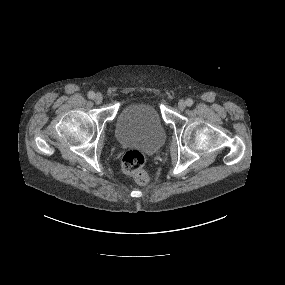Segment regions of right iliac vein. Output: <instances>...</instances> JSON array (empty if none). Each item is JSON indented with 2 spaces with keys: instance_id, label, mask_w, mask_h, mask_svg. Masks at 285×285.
Returning <instances> with one entry per match:
<instances>
[{
  "instance_id": "obj_1",
  "label": "right iliac vein",
  "mask_w": 285,
  "mask_h": 285,
  "mask_svg": "<svg viewBox=\"0 0 285 285\" xmlns=\"http://www.w3.org/2000/svg\"><path fill=\"white\" fill-rule=\"evenodd\" d=\"M103 100V96L101 93H97L95 96H94V101L95 103L97 104H100Z\"/></svg>"
}]
</instances>
